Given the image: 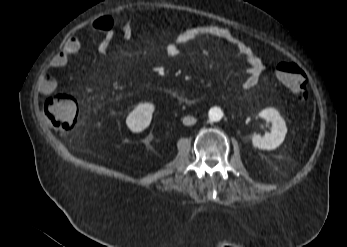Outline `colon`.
Instances as JSON below:
<instances>
[{"label": "colon", "instance_id": "5ec220e1", "mask_svg": "<svg viewBox=\"0 0 347 247\" xmlns=\"http://www.w3.org/2000/svg\"><path fill=\"white\" fill-rule=\"evenodd\" d=\"M278 80L298 99L308 98L309 84L304 70L294 62H281L276 68ZM78 104L68 95L56 93L49 95L44 102V120L55 130L70 132L77 121Z\"/></svg>", "mask_w": 347, "mask_h": 247}]
</instances>
